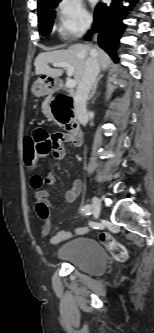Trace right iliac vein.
<instances>
[{
	"label": "right iliac vein",
	"mask_w": 154,
	"mask_h": 333,
	"mask_svg": "<svg viewBox=\"0 0 154 333\" xmlns=\"http://www.w3.org/2000/svg\"><path fill=\"white\" fill-rule=\"evenodd\" d=\"M92 209L94 217L98 218L101 212V202L97 197H93L92 199Z\"/></svg>",
	"instance_id": "63e3f726"
}]
</instances>
